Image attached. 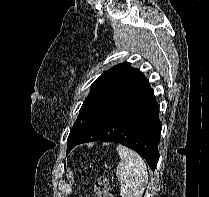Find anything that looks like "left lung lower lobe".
<instances>
[{"instance_id":"left-lung-lower-lobe-1","label":"left lung lower lobe","mask_w":209,"mask_h":197,"mask_svg":"<svg viewBox=\"0 0 209 197\" xmlns=\"http://www.w3.org/2000/svg\"><path fill=\"white\" fill-rule=\"evenodd\" d=\"M160 125L154 91L143 78L111 103L72 148L85 142H117L139 153L154 171Z\"/></svg>"}]
</instances>
